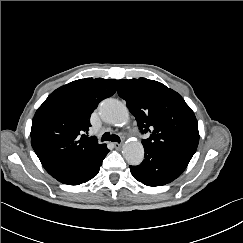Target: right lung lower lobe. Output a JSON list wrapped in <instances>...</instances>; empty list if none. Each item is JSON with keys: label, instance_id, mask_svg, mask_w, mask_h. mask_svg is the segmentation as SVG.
<instances>
[{"label": "right lung lower lobe", "instance_id": "right-lung-lower-lobe-1", "mask_svg": "<svg viewBox=\"0 0 243 243\" xmlns=\"http://www.w3.org/2000/svg\"><path fill=\"white\" fill-rule=\"evenodd\" d=\"M108 152L109 150L105 146L89 155L70 156L44 168L63 184L79 185L97 175Z\"/></svg>", "mask_w": 243, "mask_h": 243}]
</instances>
